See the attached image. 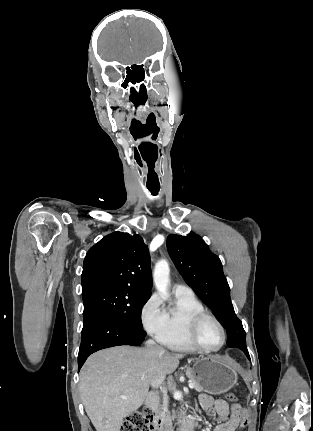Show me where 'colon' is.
<instances>
[{"label": "colon", "mask_w": 313, "mask_h": 431, "mask_svg": "<svg viewBox=\"0 0 313 431\" xmlns=\"http://www.w3.org/2000/svg\"><path fill=\"white\" fill-rule=\"evenodd\" d=\"M226 398L229 401L236 400L235 394L231 392L226 394ZM154 417L155 413L147 407L141 411H136L122 423L120 431H155Z\"/></svg>", "instance_id": "5ec220e1"}]
</instances>
